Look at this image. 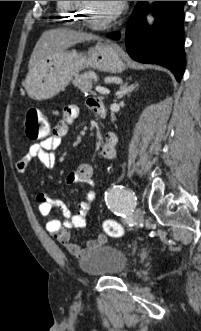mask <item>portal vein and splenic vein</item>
Returning a JSON list of instances; mask_svg holds the SVG:
<instances>
[{"label":"portal vein and splenic vein","mask_w":201,"mask_h":331,"mask_svg":"<svg viewBox=\"0 0 201 331\" xmlns=\"http://www.w3.org/2000/svg\"><path fill=\"white\" fill-rule=\"evenodd\" d=\"M95 90L100 93V94H104L107 95L110 93V91L107 88L104 87H100V86H96Z\"/></svg>","instance_id":"1"}]
</instances>
